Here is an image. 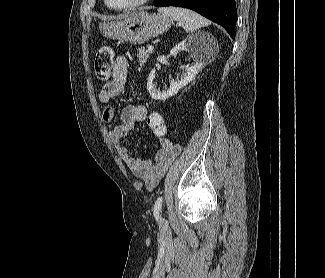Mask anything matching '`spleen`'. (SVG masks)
<instances>
[{
	"instance_id": "3e777b00",
	"label": "spleen",
	"mask_w": 325,
	"mask_h": 278,
	"mask_svg": "<svg viewBox=\"0 0 325 278\" xmlns=\"http://www.w3.org/2000/svg\"><path fill=\"white\" fill-rule=\"evenodd\" d=\"M158 12L169 16L175 21H181L184 30L187 33H192L201 27L210 25V21L198 13L179 7H160Z\"/></svg>"
}]
</instances>
